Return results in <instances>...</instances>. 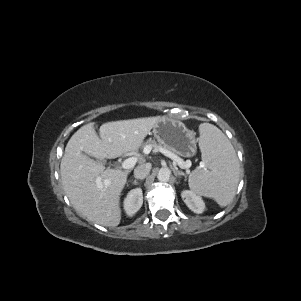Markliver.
<instances>
[{"label": "liver", "instance_id": "liver-1", "mask_svg": "<svg viewBox=\"0 0 301 301\" xmlns=\"http://www.w3.org/2000/svg\"><path fill=\"white\" fill-rule=\"evenodd\" d=\"M160 120L157 116L107 122L100 126V138L90 123L70 138L60 164L62 186L84 217L102 226H118L120 195L130 172L105 169L87 155L103 160L136 152Z\"/></svg>", "mask_w": 301, "mask_h": 301}]
</instances>
